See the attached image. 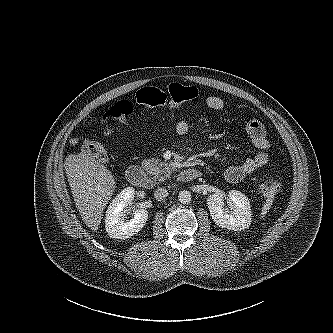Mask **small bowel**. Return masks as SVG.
Wrapping results in <instances>:
<instances>
[{
    "mask_svg": "<svg viewBox=\"0 0 333 333\" xmlns=\"http://www.w3.org/2000/svg\"><path fill=\"white\" fill-rule=\"evenodd\" d=\"M204 104L207 108L214 111H221L225 108V101L221 97L214 95L206 97ZM93 121V119H90L88 123H93ZM189 129L190 123L185 119L180 120L175 126V132L179 136L187 134ZM245 130L256 149V154L239 164L230 165L224 170V177L229 182H238L244 179L268 162L270 142L264 125L260 121L252 119L247 122ZM111 132L112 128L110 126L104 129L105 135H109ZM77 141L78 137H74L71 140L72 143Z\"/></svg>",
    "mask_w": 333,
    "mask_h": 333,
    "instance_id": "1",
    "label": "small bowel"
}]
</instances>
